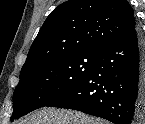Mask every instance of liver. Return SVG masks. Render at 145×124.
Here are the masks:
<instances>
[{"label": "liver", "mask_w": 145, "mask_h": 124, "mask_svg": "<svg viewBox=\"0 0 145 124\" xmlns=\"http://www.w3.org/2000/svg\"><path fill=\"white\" fill-rule=\"evenodd\" d=\"M20 124H102L82 113L63 109H44L30 115Z\"/></svg>", "instance_id": "obj_1"}]
</instances>
